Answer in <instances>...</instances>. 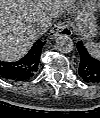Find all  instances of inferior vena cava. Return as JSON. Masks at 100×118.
I'll return each instance as SVG.
<instances>
[{
	"label": "inferior vena cava",
	"mask_w": 100,
	"mask_h": 118,
	"mask_svg": "<svg viewBox=\"0 0 100 118\" xmlns=\"http://www.w3.org/2000/svg\"><path fill=\"white\" fill-rule=\"evenodd\" d=\"M51 23H52L51 18H45L35 24L34 30L39 35L44 34L48 30V28L51 26Z\"/></svg>",
	"instance_id": "602c4592"
}]
</instances>
